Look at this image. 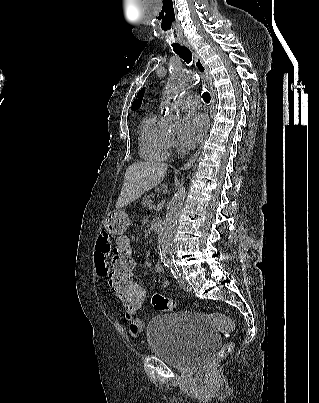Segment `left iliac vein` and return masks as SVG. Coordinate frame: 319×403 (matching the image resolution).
Returning a JSON list of instances; mask_svg holds the SVG:
<instances>
[{"mask_svg": "<svg viewBox=\"0 0 319 403\" xmlns=\"http://www.w3.org/2000/svg\"><path fill=\"white\" fill-rule=\"evenodd\" d=\"M178 282H179L180 287L184 291H187V292L191 291V286L188 284V282L185 279H183L182 277H179Z\"/></svg>", "mask_w": 319, "mask_h": 403, "instance_id": "1", "label": "left iliac vein"}]
</instances>
